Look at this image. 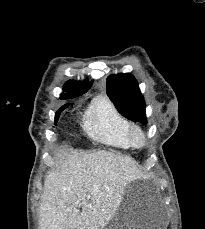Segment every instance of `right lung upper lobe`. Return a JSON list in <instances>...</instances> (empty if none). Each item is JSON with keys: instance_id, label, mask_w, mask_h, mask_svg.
<instances>
[{"instance_id": "right-lung-upper-lobe-1", "label": "right lung upper lobe", "mask_w": 205, "mask_h": 229, "mask_svg": "<svg viewBox=\"0 0 205 229\" xmlns=\"http://www.w3.org/2000/svg\"><path fill=\"white\" fill-rule=\"evenodd\" d=\"M92 83L93 81L87 82L86 80L83 82L68 81L64 85L66 93L61 94V99H72L86 93L92 86Z\"/></svg>"}]
</instances>
